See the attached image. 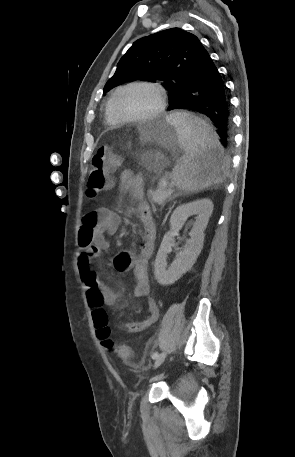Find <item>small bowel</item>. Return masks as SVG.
<instances>
[{"label":"small bowel","mask_w":295,"mask_h":457,"mask_svg":"<svg viewBox=\"0 0 295 457\" xmlns=\"http://www.w3.org/2000/svg\"><path fill=\"white\" fill-rule=\"evenodd\" d=\"M119 189L123 193H128L131 199L137 202L130 212L138 215L142 222L143 241L138 253L125 250L117 254L113 259V266L119 272L133 271L135 279L133 295L135 299H139L149 295L150 292L148 260L154 250L156 225L150 206L143 199L144 189L140 177L130 170H124L119 177ZM120 224V215L107 207L98 208L82 217L78 236L80 252L77 266L91 307H94L95 302L113 307L118 301L119 294L99 280L92 264L101 252L109 247L106 236L114 235ZM159 314L158 304L151 297L147 302L146 317L140 321L126 322L123 327L130 333L142 332L158 320Z\"/></svg>","instance_id":"c3829d8e"}]
</instances>
